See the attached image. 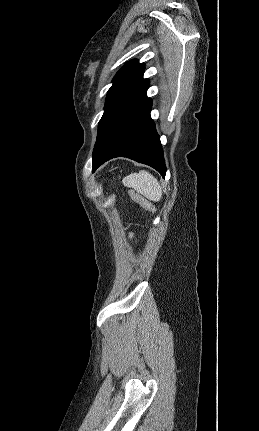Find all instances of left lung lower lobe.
<instances>
[{
  "instance_id": "left-lung-lower-lobe-1",
  "label": "left lung lower lobe",
  "mask_w": 259,
  "mask_h": 431,
  "mask_svg": "<svg viewBox=\"0 0 259 431\" xmlns=\"http://www.w3.org/2000/svg\"><path fill=\"white\" fill-rule=\"evenodd\" d=\"M152 101L145 99L113 129L92 157V172L114 157H127L166 174L163 150L155 123L151 119Z\"/></svg>"
}]
</instances>
